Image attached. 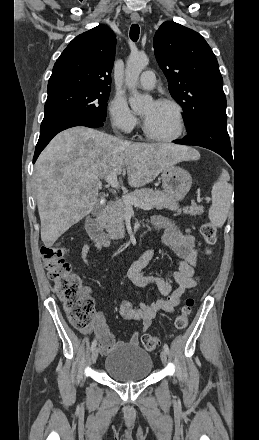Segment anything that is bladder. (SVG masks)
Returning <instances> with one entry per match:
<instances>
[{
  "label": "bladder",
  "instance_id": "1",
  "mask_svg": "<svg viewBox=\"0 0 259 440\" xmlns=\"http://www.w3.org/2000/svg\"><path fill=\"white\" fill-rule=\"evenodd\" d=\"M150 354L139 346L120 345L105 358L104 370L114 380L122 383L139 382L151 373Z\"/></svg>",
  "mask_w": 259,
  "mask_h": 440
}]
</instances>
